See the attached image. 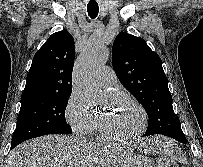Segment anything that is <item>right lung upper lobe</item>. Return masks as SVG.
Segmentation results:
<instances>
[{
	"mask_svg": "<svg viewBox=\"0 0 203 167\" xmlns=\"http://www.w3.org/2000/svg\"><path fill=\"white\" fill-rule=\"evenodd\" d=\"M74 39L67 30L52 34L35 54L21 101L72 92Z\"/></svg>",
	"mask_w": 203,
	"mask_h": 167,
	"instance_id": "obj_1",
	"label": "right lung upper lobe"
}]
</instances>
